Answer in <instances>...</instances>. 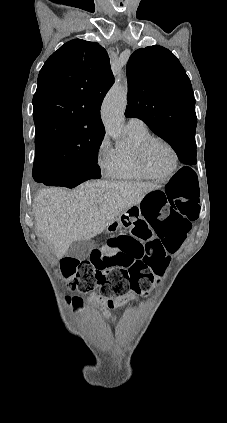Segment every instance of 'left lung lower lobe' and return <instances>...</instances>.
<instances>
[{
	"instance_id": "obj_1",
	"label": "left lung lower lobe",
	"mask_w": 227,
	"mask_h": 423,
	"mask_svg": "<svg viewBox=\"0 0 227 423\" xmlns=\"http://www.w3.org/2000/svg\"><path fill=\"white\" fill-rule=\"evenodd\" d=\"M177 153L179 160L187 165L196 164V142L195 138H180L171 144ZM195 173L192 169L184 167L179 173Z\"/></svg>"
}]
</instances>
